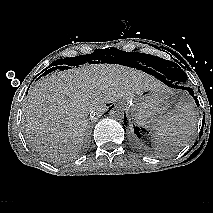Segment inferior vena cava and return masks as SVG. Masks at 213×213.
I'll return each mask as SVG.
<instances>
[{
	"instance_id": "1",
	"label": "inferior vena cava",
	"mask_w": 213,
	"mask_h": 213,
	"mask_svg": "<svg viewBox=\"0 0 213 213\" xmlns=\"http://www.w3.org/2000/svg\"><path fill=\"white\" fill-rule=\"evenodd\" d=\"M90 117L92 118V119H95L96 117H97V114L95 113V112H90Z\"/></svg>"
}]
</instances>
